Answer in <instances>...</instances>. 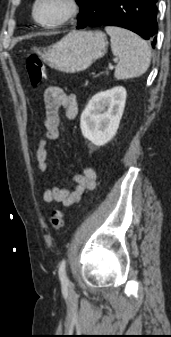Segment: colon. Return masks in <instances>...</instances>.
<instances>
[{"label": "colon", "instance_id": "colon-1", "mask_svg": "<svg viewBox=\"0 0 171 337\" xmlns=\"http://www.w3.org/2000/svg\"><path fill=\"white\" fill-rule=\"evenodd\" d=\"M26 70L28 72L30 83L34 86L39 85L46 77L45 67L42 61L34 55L26 58ZM64 223V213L56 209L51 213L50 224L54 230H59Z\"/></svg>", "mask_w": 171, "mask_h": 337}]
</instances>
